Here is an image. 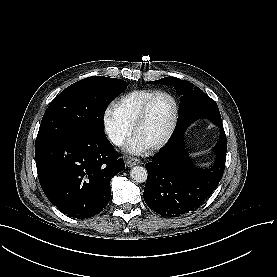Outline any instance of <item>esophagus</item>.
Masks as SVG:
<instances>
[{
  "label": "esophagus",
  "instance_id": "1",
  "mask_svg": "<svg viewBox=\"0 0 277 277\" xmlns=\"http://www.w3.org/2000/svg\"><path fill=\"white\" fill-rule=\"evenodd\" d=\"M141 161L137 158H130L126 161V166L127 167H133L137 164H139Z\"/></svg>",
  "mask_w": 277,
  "mask_h": 277
}]
</instances>
